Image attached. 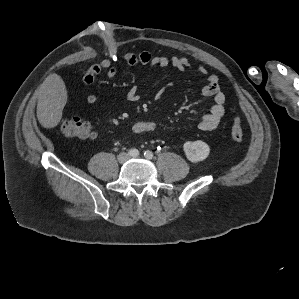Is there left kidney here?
<instances>
[{"label": "left kidney", "mask_w": 299, "mask_h": 299, "mask_svg": "<svg viewBox=\"0 0 299 299\" xmlns=\"http://www.w3.org/2000/svg\"><path fill=\"white\" fill-rule=\"evenodd\" d=\"M185 155L191 162H199L206 159L210 153V148L205 142L198 141H187L183 145Z\"/></svg>", "instance_id": "obj_1"}]
</instances>
